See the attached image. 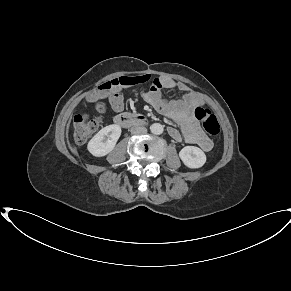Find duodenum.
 Listing matches in <instances>:
<instances>
[{"mask_svg": "<svg viewBox=\"0 0 291 291\" xmlns=\"http://www.w3.org/2000/svg\"><path fill=\"white\" fill-rule=\"evenodd\" d=\"M114 121L123 128L144 126L147 124V119L142 114L120 113L115 116Z\"/></svg>", "mask_w": 291, "mask_h": 291, "instance_id": "410a0bca", "label": "duodenum"}]
</instances>
